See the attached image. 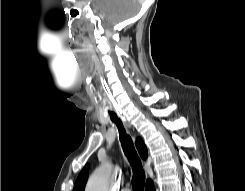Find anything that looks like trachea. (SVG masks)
Here are the masks:
<instances>
[{
	"mask_svg": "<svg viewBox=\"0 0 245 191\" xmlns=\"http://www.w3.org/2000/svg\"><path fill=\"white\" fill-rule=\"evenodd\" d=\"M111 120L116 124L119 130L120 142L125 155L127 156L132 168H133V189L134 191H144L145 184V173L142 168L141 161L134 148L131 137L126 133L121 120L117 117L114 112H109Z\"/></svg>",
	"mask_w": 245,
	"mask_h": 191,
	"instance_id": "1",
	"label": "trachea"
}]
</instances>
